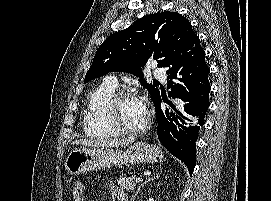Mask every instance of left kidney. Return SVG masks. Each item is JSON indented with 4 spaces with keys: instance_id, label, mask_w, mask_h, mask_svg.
<instances>
[{
    "instance_id": "obj_1",
    "label": "left kidney",
    "mask_w": 271,
    "mask_h": 201,
    "mask_svg": "<svg viewBox=\"0 0 271 201\" xmlns=\"http://www.w3.org/2000/svg\"><path fill=\"white\" fill-rule=\"evenodd\" d=\"M148 201H154V200H153V198H149V200H148Z\"/></svg>"
}]
</instances>
